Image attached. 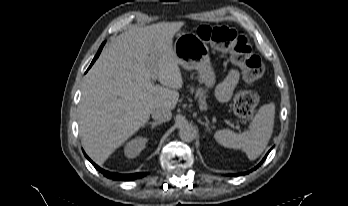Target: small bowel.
Returning a JSON list of instances; mask_svg holds the SVG:
<instances>
[{
  "instance_id": "small-bowel-1",
  "label": "small bowel",
  "mask_w": 348,
  "mask_h": 206,
  "mask_svg": "<svg viewBox=\"0 0 348 206\" xmlns=\"http://www.w3.org/2000/svg\"><path fill=\"white\" fill-rule=\"evenodd\" d=\"M239 73L235 69H231L225 79L217 87V98L220 102L230 100L235 87L239 83Z\"/></svg>"
}]
</instances>
